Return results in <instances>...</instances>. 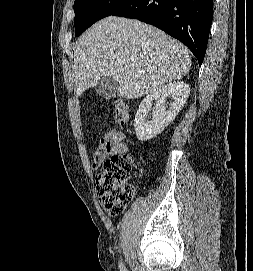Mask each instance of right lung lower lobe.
Returning <instances> with one entry per match:
<instances>
[{"mask_svg":"<svg viewBox=\"0 0 253 271\" xmlns=\"http://www.w3.org/2000/svg\"><path fill=\"white\" fill-rule=\"evenodd\" d=\"M112 15L160 28L185 44L202 64L213 18V0H128Z\"/></svg>","mask_w":253,"mask_h":271,"instance_id":"obj_1","label":"right lung lower lobe"}]
</instances>
